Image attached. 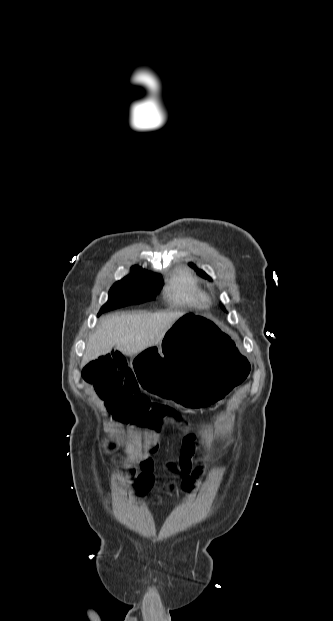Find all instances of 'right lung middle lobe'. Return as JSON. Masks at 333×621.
Instances as JSON below:
<instances>
[{
    "label": "right lung middle lobe",
    "instance_id": "obj_1",
    "mask_svg": "<svg viewBox=\"0 0 333 621\" xmlns=\"http://www.w3.org/2000/svg\"><path fill=\"white\" fill-rule=\"evenodd\" d=\"M161 287V275L133 266L130 275L111 287L109 299L98 315L127 305L153 301L159 294Z\"/></svg>",
    "mask_w": 333,
    "mask_h": 621
}]
</instances>
